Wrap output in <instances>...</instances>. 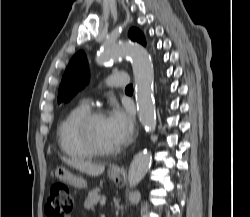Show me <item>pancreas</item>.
<instances>
[{
    "instance_id": "1",
    "label": "pancreas",
    "mask_w": 250,
    "mask_h": 217,
    "mask_svg": "<svg viewBox=\"0 0 250 217\" xmlns=\"http://www.w3.org/2000/svg\"><path fill=\"white\" fill-rule=\"evenodd\" d=\"M99 191H100L99 188H95L89 192L88 197L84 203L85 209H93L94 206L99 202V200L101 199Z\"/></svg>"
}]
</instances>
